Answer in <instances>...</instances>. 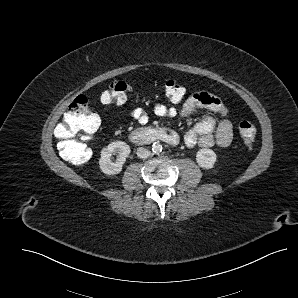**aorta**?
Instances as JSON below:
<instances>
[{
  "mask_svg": "<svg viewBox=\"0 0 298 298\" xmlns=\"http://www.w3.org/2000/svg\"><path fill=\"white\" fill-rule=\"evenodd\" d=\"M152 152L160 153L162 151V145L160 142H154L151 147Z\"/></svg>",
  "mask_w": 298,
  "mask_h": 298,
  "instance_id": "aorta-1",
  "label": "aorta"
}]
</instances>
